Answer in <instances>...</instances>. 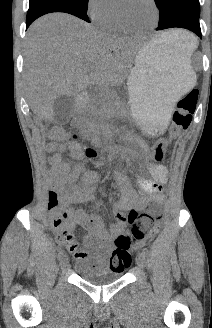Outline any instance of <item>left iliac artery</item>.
Instances as JSON below:
<instances>
[{
  "instance_id": "left-iliac-artery-1",
  "label": "left iliac artery",
  "mask_w": 212,
  "mask_h": 328,
  "mask_svg": "<svg viewBox=\"0 0 212 328\" xmlns=\"http://www.w3.org/2000/svg\"><path fill=\"white\" fill-rule=\"evenodd\" d=\"M142 253L144 254V256L146 257L149 253V250L147 248H143L142 249Z\"/></svg>"
}]
</instances>
